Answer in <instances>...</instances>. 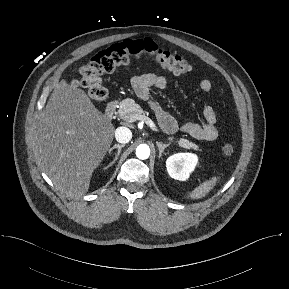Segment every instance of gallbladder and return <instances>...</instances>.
I'll return each mask as SVG.
<instances>
[{"label": "gallbladder", "mask_w": 289, "mask_h": 289, "mask_svg": "<svg viewBox=\"0 0 289 289\" xmlns=\"http://www.w3.org/2000/svg\"><path fill=\"white\" fill-rule=\"evenodd\" d=\"M71 85H73V86H75V87H78V86H79V81L76 80V79H73V80L71 81Z\"/></svg>", "instance_id": "1"}]
</instances>
